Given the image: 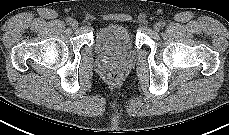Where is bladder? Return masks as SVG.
<instances>
[{"instance_id": "obj_1", "label": "bladder", "mask_w": 229, "mask_h": 135, "mask_svg": "<svg viewBox=\"0 0 229 135\" xmlns=\"http://www.w3.org/2000/svg\"><path fill=\"white\" fill-rule=\"evenodd\" d=\"M133 37L129 28L122 24H109L97 33L96 48L100 54H123L132 51Z\"/></svg>"}]
</instances>
